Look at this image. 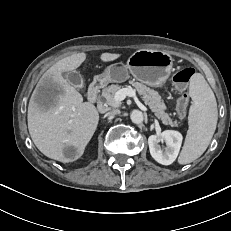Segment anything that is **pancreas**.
I'll use <instances>...</instances> for the list:
<instances>
[{
	"instance_id": "1",
	"label": "pancreas",
	"mask_w": 231,
	"mask_h": 231,
	"mask_svg": "<svg viewBox=\"0 0 231 231\" xmlns=\"http://www.w3.org/2000/svg\"><path fill=\"white\" fill-rule=\"evenodd\" d=\"M135 90L141 95L146 105L154 112L155 116L162 121L165 125L172 127L178 126L177 120H172L168 113L165 112L166 106L159 93L143 83L136 82L134 80L129 81ZM122 89V86L118 84H112L102 90L101 97L105 99L107 106L112 108H119L121 106L120 101L114 99L115 93Z\"/></svg>"
}]
</instances>
